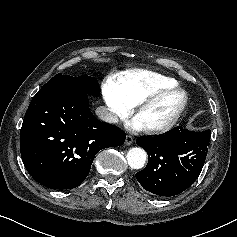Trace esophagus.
I'll return each instance as SVG.
<instances>
[{
  "label": "esophagus",
  "mask_w": 237,
  "mask_h": 237,
  "mask_svg": "<svg viewBox=\"0 0 237 237\" xmlns=\"http://www.w3.org/2000/svg\"><path fill=\"white\" fill-rule=\"evenodd\" d=\"M134 142V139L131 135H127L125 139V144L126 145H131Z\"/></svg>",
  "instance_id": "34e87169"
}]
</instances>
